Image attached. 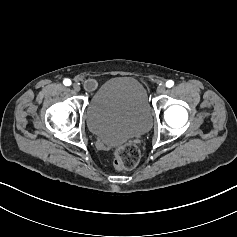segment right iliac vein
Segmentation results:
<instances>
[{"mask_svg": "<svg viewBox=\"0 0 237 237\" xmlns=\"http://www.w3.org/2000/svg\"><path fill=\"white\" fill-rule=\"evenodd\" d=\"M73 89H74L75 92H79L81 88H80L79 84L75 83L73 85Z\"/></svg>", "mask_w": 237, "mask_h": 237, "instance_id": "63e3f726", "label": "right iliac vein"}]
</instances>
